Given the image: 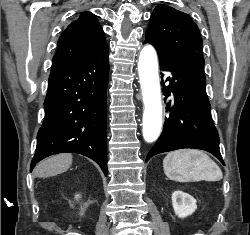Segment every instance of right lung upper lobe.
<instances>
[{
  "mask_svg": "<svg viewBox=\"0 0 250 235\" xmlns=\"http://www.w3.org/2000/svg\"><path fill=\"white\" fill-rule=\"evenodd\" d=\"M106 44L98 19L84 12L72 22L58 40L52 68L77 63L91 56Z\"/></svg>",
  "mask_w": 250,
  "mask_h": 235,
  "instance_id": "right-lung-upper-lobe-1",
  "label": "right lung upper lobe"
}]
</instances>
